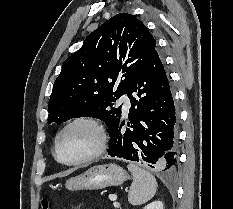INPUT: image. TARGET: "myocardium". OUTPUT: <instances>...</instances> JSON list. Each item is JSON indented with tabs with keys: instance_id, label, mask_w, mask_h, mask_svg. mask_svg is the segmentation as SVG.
<instances>
[{
	"instance_id": "obj_1",
	"label": "myocardium",
	"mask_w": 233,
	"mask_h": 209,
	"mask_svg": "<svg viewBox=\"0 0 233 209\" xmlns=\"http://www.w3.org/2000/svg\"><path fill=\"white\" fill-rule=\"evenodd\" d=\"M77 124H87L91 126L92 128H94V130L97 133L98 142H97L96 148L90 154L78 160L68 162V161L62 160L59 156V153H58L59 142L64 132L70 127L77 125ZM107 141H108V138H107L106 130L99 119L92 117V116L75 117L71 119L70 121H68L58 132L55 138V142H54V157L59 163L63 165H67V166L81 165V164L90 162L98 158L99 156H101L107 147Z\"/></svg>"
}]
</instances>
